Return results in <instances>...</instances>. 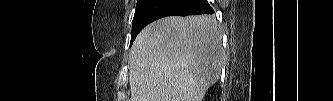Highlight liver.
Returning <instances> with one entry per match:
<instances>
[{
	"mask_svg": "<svg viewBox=\"0 0 333 101\" xmlns=\"http://www.w3.org/2000/svg\"><path fill=\"white\" fill-rule=\"evenodd\" d=\"M224 60L214 17L171 16L153 22L131 49V101H202L219 79Z\"/></svg>",
	"mask_w": 333,
	"mask_h": 101,
	"instance_id": "obj_1",
	"label": "liver"
}]
</instances>
